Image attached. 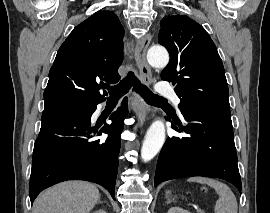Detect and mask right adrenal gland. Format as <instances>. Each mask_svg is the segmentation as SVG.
I'll use <instances>...</instances> for the list:
<instances>
[{
    "label": "right adrenal gland",
    "mask_w": 270,
    "mask_h": 213,
    "mask_svg": "<svg viewBox=\"0 0 270 213\" xmlns=\"http://www.w3.org/2000/svg\"><path fill=\"white\" fill-rule=\"evenodd\" d=\"M98 203H103L102 201H98Z\"/></svg>",
    "instance_id": "right-adrenal-gland-1"
}]
</instances>
